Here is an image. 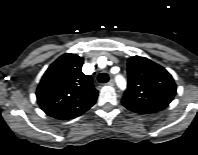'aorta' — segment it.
I'll use <instances>...</instances> for the list:
<instances>
[{"label": "aorta", "instance_id": "1", "mask_svg": "<svg viewBox=\"0 0 198 155\" xmlns=\"http://www.w3.org/2000/svg\"><path fill=\"white\" fill-rule=\"evenodd\" d=\"M116 82H117L118 87H120L121 89L125 88L126 82L122 76H117Z\"/></svg>", "mask_w": 198, "mask_h": 155}]
</instances>
